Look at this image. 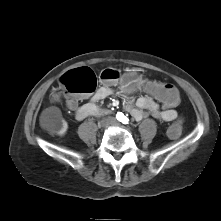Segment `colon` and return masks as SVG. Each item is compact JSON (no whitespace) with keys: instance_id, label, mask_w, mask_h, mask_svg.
<instances>
[{"instance_id":"5ec220e1","label":"colon","mask_w":221,"mask_h":221,"mask_svg":"<svg viewBox=\"0 0 221 221\" xmlns=\"http://www.w3.org/2000/svg\"><path fill=\"white\" fill-rule=\"evenodd\" d=\"M119 77L120 73L112 68H107L100 73V79L105 83L115 82ZM129 84L134 92L159 101L166 108H175L180 103V89L175 84L164 83L155 76L138 72L131 76ZM96 86V74L90 68L80 67L63 75L56 97L59 93H64L67 100L75 99L78 95L93 93ZM187 123L185 116H178L175 124L167 128V135L173 139L183 138L187 133Z\"/></svg>"}]
</instances>
